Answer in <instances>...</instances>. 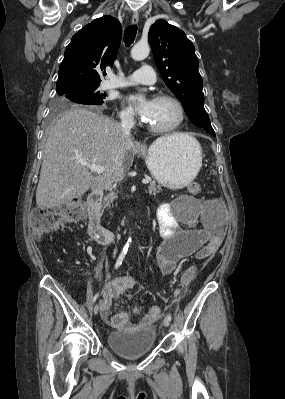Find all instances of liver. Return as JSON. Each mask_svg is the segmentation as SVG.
Segmentation results:
<instances>
[{
	"mask_svg": "<svg viewBox=\"0 0 285 399\" xmlns=\"http://www.w3.org/2000/svg\"><path fill=\"white\" fill-rule=\"evenodd\" d=\"M186 134L174 133L163 138ZM134 143L124 135L120 123L85 108L65 112L52 126L44 149L36 203L43 209L56 208L89 189L107 188L130 168ZM103 166L93 176L83 164Z\"/></svg>",
	"mask_w": 285,
	"mask_h": 399,
	"instance_id": "obj_1",
	"label": "liver"
}]
</instances>
